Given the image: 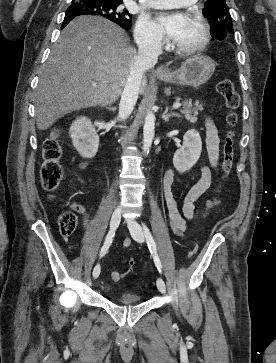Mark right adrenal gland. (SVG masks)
<instances>
[{"mask_svg": "<svg viewBox=\"0 0 276 363\" xmlns=\"http://www.w3.org/2000/svg\"><path fill=\"white\" fill-rule=\"evenodd\" d=\"M107 109H108L109 111H112V112H115V111H116V108H112V107H107Z\"/></svg>", "mask_w": 276, "mask_h": 363, "instance_id": "right-adrenal-gland-1", "label": "right adrenal gland"}]
</instances>
